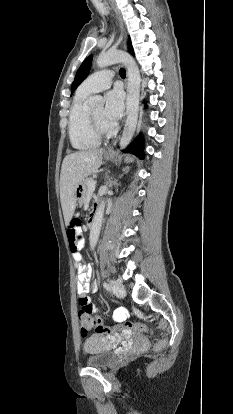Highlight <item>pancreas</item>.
<instances>
[{
  "label": "pancreas",
  "instance_id": "obj_1",
  "mask_svg": "<svg viewBox=\"0 0 233 414\" xmlns=\"http://www.w3.org/2000/svg\"><path fill=\"white\" fill-rule=\"evenodd\" d=\"M92 181H94V179H93V178H91V177L86 178V179L83 181L84 186H85V196H88V195H90V194H91V190L89 189V182H92Z\"/></svg>",
  "mask_w": 233,
  "mask_h": 414
}]
</instances>
